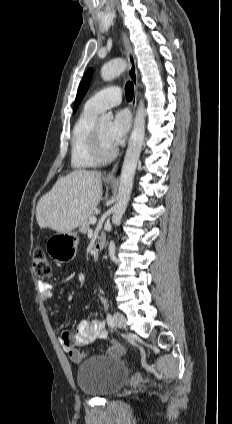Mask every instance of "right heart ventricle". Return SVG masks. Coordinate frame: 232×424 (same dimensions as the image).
<instances>
[{
  "instance_id": "e07e8e85",
  "label": "right heart ventricle",
  "mask_w": 232,
  "mask_h": 424,
  "mask_svg": "<svg viewBox=\"0 0 232 424\" xmlns=\"http://www.w3.org/2000/svg\"><path fill=\"white\" fill-rule=\"evenodd\" d=\"M98 112L84 108L77 119L71 139V165L82 170L100 165L91 154V138Z\"/></svg>"
}]
</instances>
